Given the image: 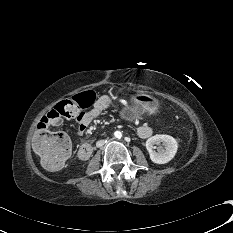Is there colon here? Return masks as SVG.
Returning a JSON list of instances; mask_svg holds the SVG:
<instances>
[{
  "instance_id": "5ec220e1",
  "label": "colon",
  "mask_w": 233,
  "mask_h": 233,
  "mask_svg": "<svg viewBox=\"0 0 233 233\" xmlns=\"http://www.w3.org/2000/svg\"><path fill=\"white\" fill-rule=\"evenodd\" d=\"M95 100L96 92L87 90L63 101L57 108L63 115L69 108L84 112L94 104ZM33 148L44 167L57 170L70 156L71 142L65 134L50 132L44 124L39 123L33 139Z\"/></svg>"
}]
</instances>
